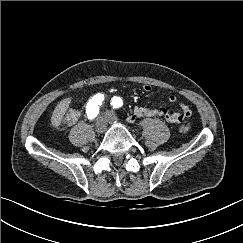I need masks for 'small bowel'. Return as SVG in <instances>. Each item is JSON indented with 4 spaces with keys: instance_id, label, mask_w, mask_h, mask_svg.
<instances>
[{
    "instance_id": "obj_1",
    "label": "small bowel",
    "mask_w": 243,
    "mask_h": 243,
    "mask_svg": "<svg viewBox=\"0 0 243 243\" xmlns=\"http://www.w3.org/2000/svg\"><path fill=\"white\" fill-rule=\"evenodd\" d=\"M143 90L145 92H150L152 90L151 85L144 84ZM168 101L170 103H176L177 97L174 94H170L168 96ZM181 111L180 112H169L166 108H149V107H142L137 106L135 107L132 118H139V117H154V116H161L164 117L168 122L171 123H180L190 117L191 110L188 105L181 103L180 104Z\"/></svg>"
}]
</instances>
